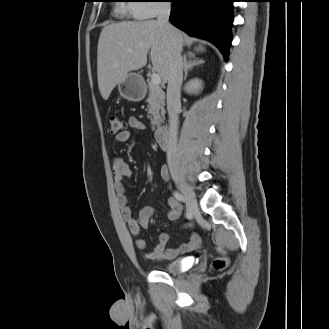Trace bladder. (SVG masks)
<instances>
[{
  "mask_svg": "<svg viewBox=\"0 0 329 329\" xmlns=\"http://www.w3.org/2000/svg\"><path fill=\"white\" fill-rule=\"evenodd\" d=\"M186 261V258L171 259L163 264L161 271L167 274L181 273L185 268Z\"/></svg>",
  "mask_w": 329,
  "mask_h": 329,
  "instance_id": "bladder-1",
  "label": "bladder"
}]
</instances>
